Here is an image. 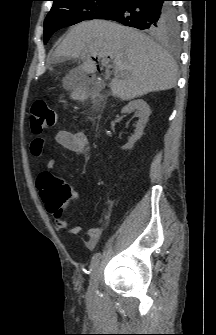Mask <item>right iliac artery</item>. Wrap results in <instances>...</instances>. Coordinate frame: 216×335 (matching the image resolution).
Listing matches in <instances>:
<instances>
[{
	"mask_svg": "<svg viewBox=\"0 0 216 335\" xmlns=\"http://www.w3.org/2000/svg\"><path fill=\"white\" fill-rule=\"evenodd\" d=\"M100 258H101V253L100 252L94 254V256L92 257V260H91L90 267H89L90 271H92L95 268V266L98 264Z\"/></svg>",
	"mask_w": 216,
	"mask_h": 335,
	"instance_id": "obj_1",
	"label": "right iliac artery"
}]
</instances>
